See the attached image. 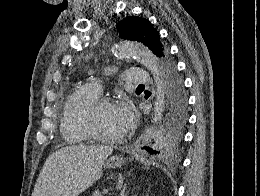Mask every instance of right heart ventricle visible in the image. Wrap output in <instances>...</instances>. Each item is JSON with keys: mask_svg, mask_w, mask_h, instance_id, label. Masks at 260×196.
<instances>
[{"mask_svg": "<svg viewBox=\"0 0 260 196\" xmlns=\"http://www.w3.org/2000/svg\"><path fill=\"white\" fill-rule=\"evenodd\" d=\"M99 95L94 86L84 85L77 88L67 102L61 122V133L69 145L81 144L93 138L82 127L81 119L83 113L99 98Z\"/></svg>", "mask_w": 260, "mask_h": 196, "instance_id": "1", "label": "right heart ventricle"}]
</instances>
